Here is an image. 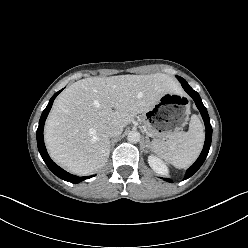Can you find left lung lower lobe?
Masks as SVG:
<instances>
[{"label":"left lung lower lobe","instance_id":"1","mask_svg":"<svg viewBox=\"0 0 248 248\" xmlns=\"http://www.w3.org/2000/svg\"><path fill=\"white\" fill-rule=\"evenodd\" d=\"M184 90L193 98V100L195 101V104L197 106V108L199 109L202 118L204 120L205 123V127H206V136H205V143H204V147L203 150L200 154V156L198 157V159L196 160V162L187 170L186 175H185V179H188L189 177H191L203 164V162L205 161L209 149H210V145H211V139H212V127L210 124V119L208 116V112L205 108V106L202 103V100L199 96V94L194 91L188 83H181ZM164 180L171 182L170 179L164 178Z\"/></svg>","mask_w":248,"mask_h":248}]
</instances>
